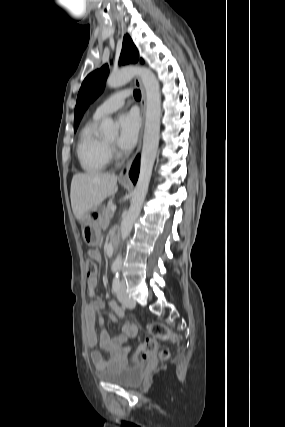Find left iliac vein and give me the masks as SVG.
<instances>
[{"label":"left iliac vein","instance_id":"obj_1","mask_svg":"<svg viewBox=\"0 0 285 427\" xmlns=\"http://www.w3.org/2000/svg\"><path fill=\"white\" fill-rule=\"evenodd\" d=\"M117 298L120 303L125 307L130 309L135 307V301L128 296L126 291V285L123 281L119 284V288L117 290Z\"/></svg>","mask_w":285,"mask_h":427}]
</instances>
